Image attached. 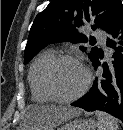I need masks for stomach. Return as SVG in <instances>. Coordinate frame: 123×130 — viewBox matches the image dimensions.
Wrapping results in <instances>:
<instances>
[{"label":"stomach","instance_id":"stomach-1","mask_svg":"<svg viewBox=\"0 0 123 130\" xmlns=\"http://www.w3.org/2000/svg\"><path fill=\"white\" fill-rule=\"evenodd\" d=\"M95 127L96 122L92 119L88 120L76 119L64 124L58 130H95Z\"/></svg>","mask_w":123,"mask_h":130}]
</instances>
